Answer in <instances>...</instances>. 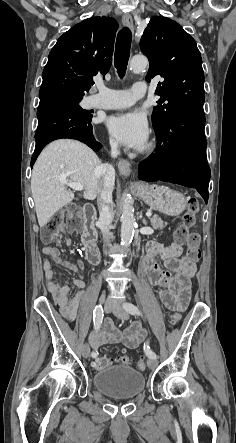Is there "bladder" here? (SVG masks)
Segmentation results:
<instances>
[{
	"mask_svg": "<svg viewBox=\"0 0 236 443\" xmlns=\"http://www.w3.org/2000/svg\"><path fill=\"white\" fill-rule=\"evenodd\" d=\"M97 390L114 399H130L140 394L145 387V376L130 366H112L93 374Z\"/></svg>",
	"mask_w": 236,
	"mask_h": 443,
	"instance_id": "1",
	"label": "bladder"
}]
</instances>
